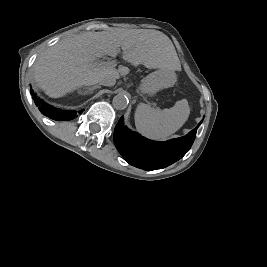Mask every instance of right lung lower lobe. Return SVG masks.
Segmentation results:
<instances>
[{"instance_id": "1", "label": "right lung lower lobe", "mask_w": 267, "mask_h": 267, "mask_svg": "<svg viewBox=\"0 0 267 267\" xmlns=\"http://www.w3.org/2000/svg\"><path fill=\"white\" fill-rule=\"evenodd\" d=\"M33 95V93H32ZM34 102L38 106L41 113L51 119L58 121H67L77 117L76 112L72 110H63L54 108L53 106L47 104L43 100L36 98V95H33Z\"/></svg>"}]
</instances>
